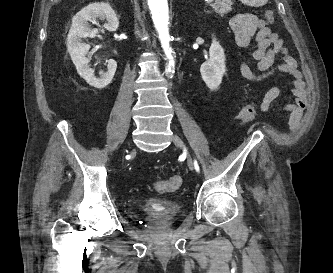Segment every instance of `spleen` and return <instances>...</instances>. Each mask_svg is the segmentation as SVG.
Here are the masks:
<instances>
[{
  "instance_id": "obj_1",
  "label": "spleen",
  "mask_w": 333,
  "mask_h": 273,
  "mask_svg": "<svg viewBox=\"0 0 333 273\" xmlns=\"http://www.w3.org/2000/svg\"><path fill=\"white\" fill-rule=\"evenodd\" d=\"M243 4L259 7L265 5L268 0H240Z\"/></svg>"
}]
</instances>
